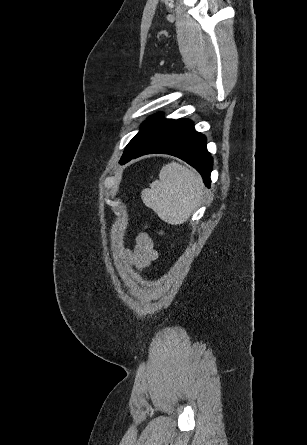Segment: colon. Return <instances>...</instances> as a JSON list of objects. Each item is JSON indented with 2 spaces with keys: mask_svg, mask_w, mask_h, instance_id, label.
<instances>
[{
  "mask_svg": "<svg viewBox=\"0 0 307 445\" xmlns=\"http://www.w3.org/2000/svg\"><path fill=\"white\" fill-rule=\"evenodd\" d=\"M159 233L163 236L165 235V232L163 230H159Z\"/></svg>",
  "mask_w": 307,
  "mask_h": 445,
  "instance_id": "5ec220e1",
  "label": "colon"
}]
</instances>
